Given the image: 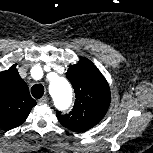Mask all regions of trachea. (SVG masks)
Masks as SVG:
<instances>
[{
  "label": "trachea",
  "mask_w": 153,
  "mask_h": 153,
  "mask_svg": "<svg viewBox=\"0 0 153 153\" xmlns=\"http://www.w3.org/2000/svg\"><path fill=\"white\" fill-rule=\"evenodd\" d=\"M31 94L34 98L39 99L44 94V87L41 84H35L31 88Z\"/></svg>",
  "instance_id": "trachea-1"
}]
</instances>
